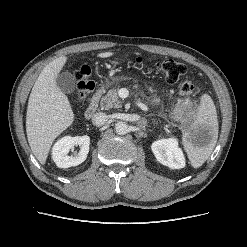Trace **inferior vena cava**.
<instances>
[{"label":"inferior vena cava","instance_id":"inferior-vena-cava-1","mask_svg":"<svg viewBox=\"0 0 247 247\" xmlns=\"http://www.w3.org/2000/svg\"><path fill=\"white\" fill-rule=\"evenodd\" d=\"M108 115L103 113V112H98L96 114H94V116L92 117V123L95 126H102L104 124L107 123L108 121Z\"/></svg>","mask_w":247,"mask_h":247}]
</instances>
